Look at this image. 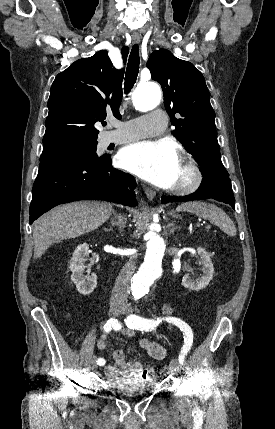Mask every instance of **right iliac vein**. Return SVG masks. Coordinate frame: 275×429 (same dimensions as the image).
<instances>
[{
    "label": "right iliac vein",
    "mask_w": 275,
    "mask_h": 429,
    "mask_svg": "<svg viewBox=\"0 0 275 429\" xmlns=\"http://www.w3.org/2000/svg\"><path fill=\"white\" fill-rule=\"evenodd\" d=\"M122 310V306L118 303H112L111 304V312L114 316H117ZM91 368L95 369L97 368V361H96V357H93V359L91 360Z\"/></svg>",
    "instance_id": "obj_1"
}]
</instances>
